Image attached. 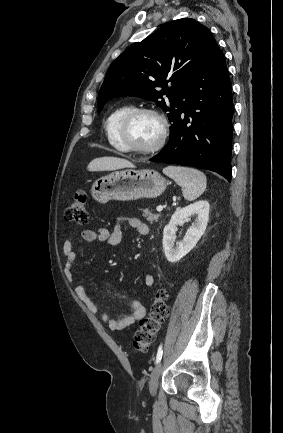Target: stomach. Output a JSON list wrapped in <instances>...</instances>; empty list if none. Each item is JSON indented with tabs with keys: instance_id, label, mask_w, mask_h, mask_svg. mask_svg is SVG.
<instances>
[{
	"instance_id": "stomach-1",
	"label": "stomach",
	"mask_w": 283,
	"mask_h": 433,
	"mask_svg": "<svg viewBox=\"0 0 283 433\" xmlns=\"http://www.w3.org/2000/svg\"><path fill=\"white\" fill-rule=\"evenodd\" d=\"M166 180L157 170H119L93 182L91 194L98 202L156 198L164 192Z\"/></svg>"
}]
</instances>
